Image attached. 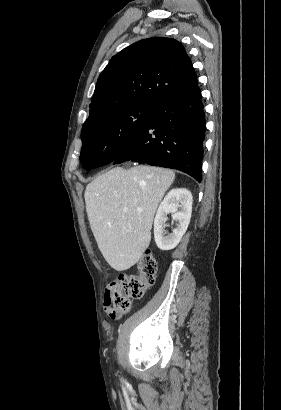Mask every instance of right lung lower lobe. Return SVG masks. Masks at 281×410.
Segmentation results:
<instances>
[{"mask_svg":"<svg viewBox=\"0 0 281 410\" xmlns=\"http://www.w3.org/2000/svg\"><path fill=\"white\" fill-rule=\"evenodd\" d=\"M205 123L197 85L185 94L158 104L147 126L112 163L135 161L174 168L200 182Z\"/></svg>","mask_w":281,"mask_h":410,"instance_id":"right-lung-lower-lobe-1","label":"right lung lower lobe"}]
</instances>
